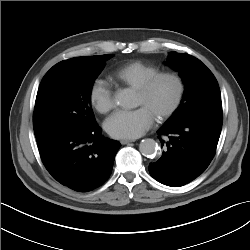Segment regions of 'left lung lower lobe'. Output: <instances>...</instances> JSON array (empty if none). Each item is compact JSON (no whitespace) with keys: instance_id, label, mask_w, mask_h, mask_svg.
<instances>
[{"instance_id":"left-lung-lower-lobe-1","label":"left lung lower lobe","mask_w":250,"mask_h":250,"mask_svg":"<svg viewBox=\"0 0 250 250\" xmlns=\"http://www.w3.org/2000/svg\"><path fill=\"white\" fill-rule=\"evenodd\" d=\"M221 128L222 109L189 117L178 124H164L157 134L165 151L157 162L149 164L150 175L172 187L191 182L213 159Z\"/></svg>"}]
</instances>
